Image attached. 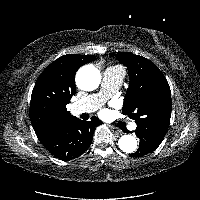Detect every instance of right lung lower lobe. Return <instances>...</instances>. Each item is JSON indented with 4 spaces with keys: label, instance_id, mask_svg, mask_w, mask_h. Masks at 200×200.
Returning <instances> with one entry per match:
<instances>
[{
    "label": "right lung lower lobe",
    "instance_id": "right-lung-lower-lobe-1",
    "mask_svg": "<svg viewBox=\"0 0 200 200\" xmlns=\"http://www.w3.org/2000/svg\"><path fill=\"white\" fill-rule=\"evenodd\" d=\"M99 124L102 121L95 116L90 121L72 117L54 124L38 139L54 157L68 161L82 155L89 148L94 129Z\"/></svg>",
    "mask_w": 200,
    "mask_h": 200
}]
</instances>
